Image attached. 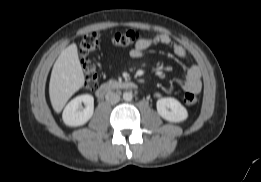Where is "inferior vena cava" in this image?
Masks as SVG:
<instances>
[{"label":"inferior vena cava","instance_id":"602c4592","mask_svg":"<svg viewBox=\"0 0 261 182\" xmlns=\"http://www.w3.org/2000/svg\"><path fill=\"white\" fill-rule=\"evenodd\" d=\"M105 99L107 102H109L111 104H116L120 101V95L113 91H108L105 95Z\"/></svg>","mask_w":261,"mask_h":182}]
</instances>
